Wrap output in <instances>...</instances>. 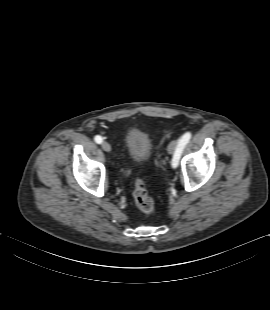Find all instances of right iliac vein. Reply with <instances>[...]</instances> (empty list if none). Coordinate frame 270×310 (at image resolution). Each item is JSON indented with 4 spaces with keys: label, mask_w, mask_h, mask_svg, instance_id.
<instances>
[{
    "label": "right iliac vein",
    "mask_w": 270,
    "mask_h": 310,
    "mask_svg": "<svg viewBox=\"0 0 270 310\" xmlns=\"http://www.w3.org/2000/svg\"><path fill=\"white\" fill-rule=\"evenodd\" d=\"M101 147L104 151L106 152H110L111 151V146L109 143L107 142H102Z\"/></svg>",
    "instance_id": "obj_1"
}]
</instances>
